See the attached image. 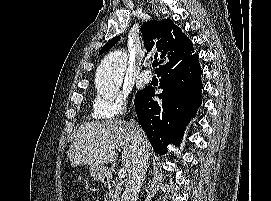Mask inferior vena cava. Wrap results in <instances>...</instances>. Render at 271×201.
I'll return each mask as SVG.
<instances>
[{
	"mask_svg": "<svg viewBox=\"0 0 271 201\" xmlns=\"http://www.w3.org/2000/svg\"><path fill=\"white\" fill-rule=\"evenodd\" d=\"M131 134L136 148V157L133 160L132 168L121 201H137L149 159V143L145 131L134 119L130 120Z\"/></svg>",
	"mask_w": 271,
	"mask_h": 201,
	"instance_id": "inferior-vena-cava-1",
	"label": "inferior vena cava"
}]
</instances>
